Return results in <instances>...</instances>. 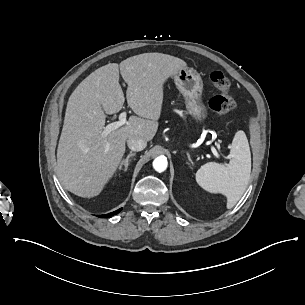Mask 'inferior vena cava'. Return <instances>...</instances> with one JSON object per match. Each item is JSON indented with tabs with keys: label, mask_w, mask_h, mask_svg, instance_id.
<instances>
[{
	"label": "inferior vena cava",
	"mask_w": 305,
	"mask_h": 305,
	"mask_svg": "<svg viewBox=\"0 0 305 305\" xmlns=\"http://www.w3.org/2000/svg\"><path fill=\"white\" fill-rule=\"evenodd\" d=\"M127 145L133 151H141L146 147L147 142L143 139L129 137L127 140Z\"/></svg>",
	"instance_id": "1"
}]
</instances>
